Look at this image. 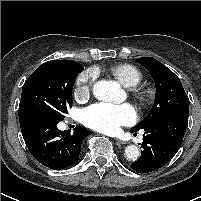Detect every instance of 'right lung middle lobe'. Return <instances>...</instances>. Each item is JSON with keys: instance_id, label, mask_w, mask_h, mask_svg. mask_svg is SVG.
Returning a JSON list of instances; mask_svg holds the SVG:
<instances>
[{"instance_id": "dd1d6c3e", "label": "right lung middle lobe", "mask_w": 201, "mask_h": 201, "mask_svg": "<svg viewBox=\"0 0 201 201\" xmlns=\"http://www.w3.org/2000/svg\"><path fill=\"white\" fill-rule=\"evenodd\" d=\"M83 69L72 60H51L39 66L23 85L20 123L39 115L63 120L72 104L75 79Z\"/></svg>"}]
</instances>
